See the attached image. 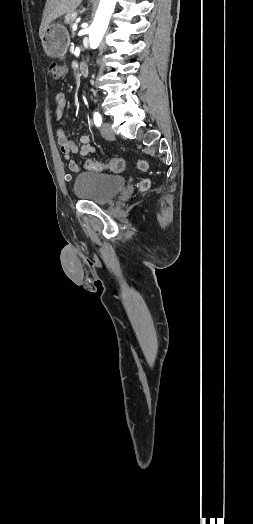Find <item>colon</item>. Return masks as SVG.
<instances>
[{
	"label": "colon",
	"instance_id": "obj_1",
	"mask_svg": "<svg viewBox=\"0 0 253 524\" xmlns=\"http://www.w3.org/2000/svg\"><path fill=\"white\" fill-rule=\"evenodd\" d=\"M49 72L53 80L59 81L66 74L67 68L62 63L52 62L49 65ZM84 166L87 170H91V171L101 172V171L108 170L111 172L120 173L125 169V160L120 157L112 158L107 163L87 160ZM137 166L139 169L145 170L147 168V163L144 161H139ZM149 185H150L149 181L147 179H143L140 182L139 188L141 191H144L149 188Z\"/></svg>",
	"mask_w": 253,
	"mask_h": 524
}]
</instances>
